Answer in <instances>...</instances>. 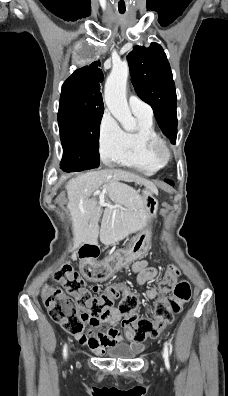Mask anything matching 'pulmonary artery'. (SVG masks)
<instances>
[{"mask_svg":"<svg viewBox=\"0 0 228 396\" xmlns=\"http://www.w3.org/2000/svg\"><path fill=\"white\" fill-rule=\"evenodd\" d=\"M128 104L134 114H141L149 117L153 115L151 106L136 95L129 96Z\"/></svg>","mask_w":228,"mask_h":396,"instance_id":"obj_1","label":"pulmonary artery"}]
</instances>
